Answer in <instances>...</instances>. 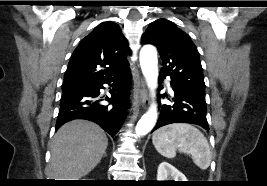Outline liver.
Masks as SVG:
<instances>
[{"label":"liver","instance_id":"liver-1","mask_svg":"<svg viewBox=\"0 0 267 186\" xmlns=\"http://www.w3.org/2000/svg\"><path fill=\"white\" fill-rule=\"evenodd\" d=\"M108 145L97 124L74 120L59 128L51 145L48 176L54 180H79L100 162Z\"/></svg>","mask_w":267,"mask_h":186}]
</instances>
